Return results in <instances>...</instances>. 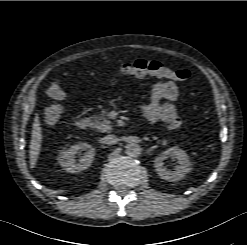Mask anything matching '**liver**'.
Returning a JSON list of instances; mask_svg holds the SVG:
<instances>
[{
    "label": "liver",
    "mask_w": 247,
    "mask_h": 245,
    "mask_svg": "<svg viewBox=\"0 0 247 245\" xmlns=\"http://www.w3.org/2000/svg\"><path fill=\"white\" fill-rule=\"evenodd\" d=\"M42 138H43L42 129L40 126L39 118L38 116H36L34 119V123L32 125V134H31V142H30V150H29L31 168H34L37 163V159L40 154Z\"/></svg>",
    "instance_id": "liver-1"
}]
</instances>
